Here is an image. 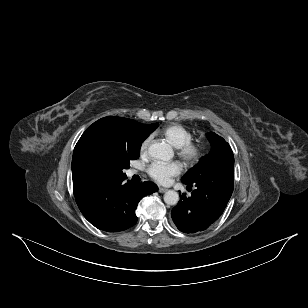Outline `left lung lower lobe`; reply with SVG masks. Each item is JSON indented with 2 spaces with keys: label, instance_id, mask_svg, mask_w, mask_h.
Segmentation results:
<instances>
[{
  "label": "left lung lower lobe",
  "instance_id": "0a47b994",
  "mask_svg": "<svg viewBox=\"0 0 308 308\" xmlns=\"http://www.w3.org/2000/svg\"><path fill=\"white\" fill-rule=\"evenodd\" d=\"M233 166L222 165L208 170L191 181H182L192 189L190 197L182 194L171 212L177 228L184 233L206 230L223 213L234 188Z\"/></svg>",
  "mask_w": 308,
  "mask_h": 308
}]
</instances>
